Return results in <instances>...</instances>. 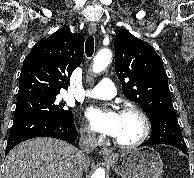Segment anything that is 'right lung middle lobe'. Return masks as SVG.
<instances>
[{
	"instance_id": "1",
	"label": "right lung middle lobe",
	"mask_w": 194,
	"mask_h": 178,
	"mask_svg": "<svg viewBox=\"0 0 194 178\" xmlns=\"http://www.w3.org/2000/svg\"><path fill=\"white\" fill-rule=\"evenodd\" d=\"M64 105L65 102L56 100V95L17 101L14 116L25 113H41L55 118L73 116L71 111L64 109Z\"/></svg>"
}]
</instances>
